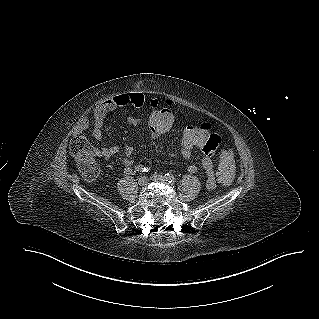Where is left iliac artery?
Segmentation results:
<instances>
[{
	"label": "left iliac artery",
	"instance_id": "44dca946",
	"mask_svg": "<svg viewBox=\"0 0 319 319\" xmlns=\"http://www.w3.org/2000/svg\"><path fill=\"white\" fill-rule=\"evenodd\" d=\"M164 177H165V180L168 183H172L173 184L176 181L175 177L172 174H170V173H166Z\"/></svg>",
	"mask_w": 319,
	"mask_h": 319
}]
</instances>
